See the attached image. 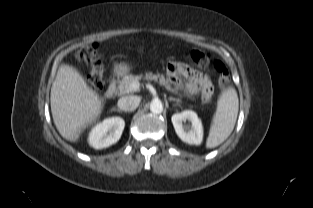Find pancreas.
<instances>
[{
    "mask_svg": "<svg viewBox=\"0 0 313 208\" xmlns=\"http://www.w3.org/2000/svg\"><path fill=\"white\" fill-rule=\"evenodd\" d=\"M141 78H142V76H134L131 74L124 76L122 78V80H120L118 82L119 84H118V87L116 89V94L124 95V94L138 91V89H136V90L132 89L131 84L133 82H138ZM145 78L148 80L158 81L159 84L165 86L167 90L175 92V90L171 88L168 81L165 79V77L163 75H159V74L155 75V74H152L151 72H149L146 74Z\"/></svg>",
    "mask_w": 313,
    "mask_h": 208,
    "instance_id": "obj_1",
    "label": "pancreas"
}]
</instances>
